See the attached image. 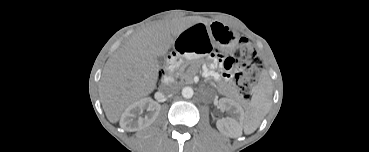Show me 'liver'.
Returning a JSON list of instances; mask_svg holds the SVG:
<instances>
[{
    "instance_id": "6515ba94",
    "label": "liver",
    "mask_w": 369,
    "mask_h": 152,
    "mask_svg": "<svg viewBox=\"0 0 369 152\" xmlns=\"http://www.w3.org/2000/svg\"><path fill=\"white\" fill-rule=\"evenodd\" d=\"M184 27L176 20L144 27L127 40L106 62L99 85L102 107L111 123L118 122L131 104L156 88L158 57L167 54Z\"/></svg>"
}]
</instances>
